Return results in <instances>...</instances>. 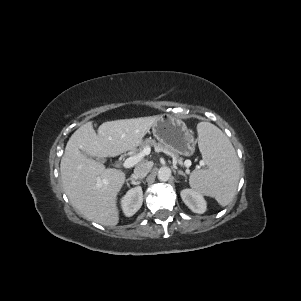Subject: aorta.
<instances>
[{"mask_svg":"<svg viewBox=\"0 0 301 301\" xmlns=\"http://www.w3.org/2000/svg\"><path fill=\"white\" fill-rule=\"evenodd\" d=\"M171 169L167 166L161 167L158 171V179L160 181H167L171 177Z\"/></svg>","mask_w":301,"mask_h":301,"instance_id":"obj_1","label":"aorta"}]
</instances>
